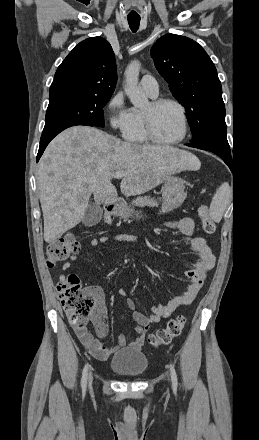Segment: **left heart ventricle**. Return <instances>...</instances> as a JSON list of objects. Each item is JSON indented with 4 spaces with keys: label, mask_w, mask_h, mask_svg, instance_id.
<instances>
[{
    "label": "left heart ventricle",
    "mask_w": 259,
    "mask_h": 440,
    "mask_svg": "<svg viewBox=\"0 0 259 440\" xmlns=\"http://www.w3.org/2000/svg\"><path fill=\"white\" fill-rule=\"evenodd\" d=\"M151 110L149 104L144 111ZM154 129L159 138L171 141L179 138L183 131L182 118L178 108L165 104L152 112Z\"/></svg>",
    "instance_id": "obj_1"
}]
</instances>
